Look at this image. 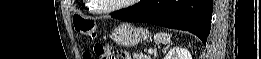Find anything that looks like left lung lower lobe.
I'll return each instance as SVG.
<instances>
[{
  "label": "left lung lower lobe",
  "mask_w": 261,
  "mask_h": 59,
  "mask_svg": "<svg viewBox=\"0 0 261 59\" xmlns=\"http://www.w3.org/2000/svg\"><path fill=\"white\" fill-rule=\"evenodd\" d=\"M212 10L213 0H141L137 6L113 13L112 17L188 31L205 44Z\"/></svg>",
  "instance_id": "obj_1"
}]
</instances>
